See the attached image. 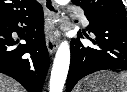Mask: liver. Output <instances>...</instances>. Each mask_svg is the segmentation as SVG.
I'll return each instance as SVG.
<instances>
[{"instance_id": "6515ba94", "label": "liver", "mask_w": 127, "mask_h": 92, "mask_svg": "<svg viewBox=\"0 0 127 92\" xmlns=\"http://www.w3.org/2000/svg\"><path fill=\"white\" fill-rule=\"evenodd\" d=\"M0 92H25V89L14 79L0 74Z\"/></svg>"}]
</instances>
